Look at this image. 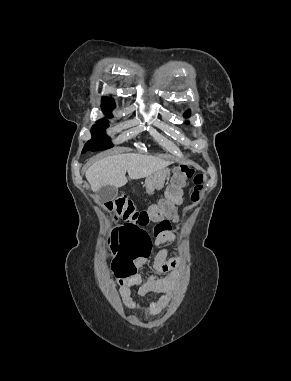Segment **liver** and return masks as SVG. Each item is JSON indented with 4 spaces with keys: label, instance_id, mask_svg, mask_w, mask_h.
Segmentation results:
<instances>
[{
    "label": "liver",
    "instance_id": "1",
    "mask_svg": "<svg viewBox=\"0 0 291 381\" xmlns=\"http://www.w3.org/2000/svg\"><path fill=\"white\" fill-rule=\"evenodd\" d=\"M170 164V161L151 155L137 153L110 155L91 165L86 171V179L92 191L96 192L103 186L116 188L124 186L128 182L126 171L130 179H141L163 170Z\"/></svg>",
    "mask_w": 291,
    "mask_h": 381
}]
</instances>
